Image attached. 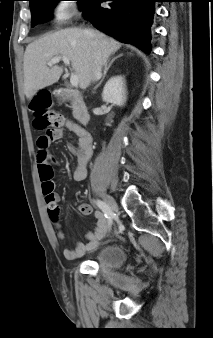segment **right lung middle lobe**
<instances>
[{"label":"right lung middle lobe","mask_w":213,"mask_h":338,"mask_svg":"<svg viewBox=\"0 0 213 338\" xmlns=\"http://www.w3.org/2000/svg\"><path fill=\"white\" fill-rule=\"evenodd\" d=\"M61 0H29L31 9L32 26L39 22H46L52 17V9L55 7L56 2ZM78 1L80 9L85 10L95 0H71Z\"/></svg>","instance_id":"1"}]
</instances>
